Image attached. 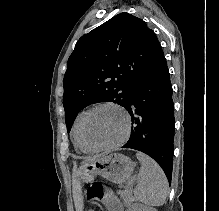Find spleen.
Segmentation results:
<instances>
[{
	"label": "spleen",
	"mask_w": 219,
	"mask_h": 211,
	"mask_svg": "<svg viewBox=\"0 0 219 211\" xmlns=\"http://www.w3.org/2000/svg\"><path fill=\"white\" fill-rule=\"evenodd\" d=\"M136 157L141 161V169L135 177L137 185L133 199L146 205H163L168 193V181L162 167L142 151H138Z\"/></svg>",
	"instance_id": "spleen-1"
}]
</instances>
